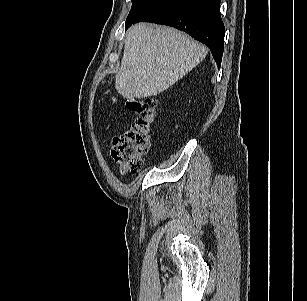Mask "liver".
I'll use <instances>...</instances> for the list:
<instances>
[{
  "label": "liver",
  "instance_id": "6515ba94",
  "mask_svg": "<svg viewBox=\"0 0 307 301\" xmlns=\"http://www.w3.org/2000/svg\"><path fill=\"white\" fill-rule=\"evenodd\" d=\"M207 52L171 27L136 24L127 33L115 88L125 98L156 96L199 64Z\"/></svg>",
  "mask_w": 307,
  "mask_h": 301
}]
</instances>
